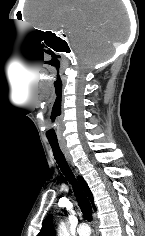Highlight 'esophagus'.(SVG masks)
Returning <instances> with one entry per match:
<instances>
[{"label": "esophagus", "instance_id": "34e87169", "mask_svg": "<svg viewBox=\"0 0 145 236\" xmlns=\"http://www.w3.org/2000/svg\"><path fill=\"white\" fill-rule=\"evenodd\" d=\"M61 148H62V150H63L65 156L67 157V159L72 163L71 157H70V155H69L67 149L65 148L64 144H62V143H61ZM72 164H73V163H72Z\"/></svg>", "mask_w": 145, "mask_h": 236}]
</instances>
